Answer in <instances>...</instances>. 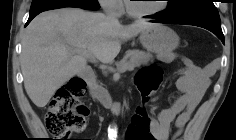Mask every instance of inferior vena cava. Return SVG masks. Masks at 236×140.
Listing matches in <instances>:
<instances>
[{
	"mask_svg": "<svg viewBox=\"0 0 236 140\" xmlns=\"http://www.w3.org/2000/svg\"><path fill=\"white\" fill-rule=\"evenodd\" d=\"M105 12L108 19L113 20V21H118L117 16L114 13H112L111 11L107 9H105Z\"/></svg>",
	"mask_w": 236,
	"mask_h": 140,
	"instance_id": "inferior-vena-cava-1",
	"label": "inferior vena cava"
}]
</instances>
